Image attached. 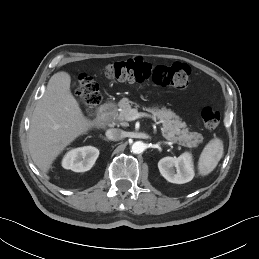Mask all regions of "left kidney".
<instances>
[{"label":"left kidney","instance_id":"1","mask_svg":"<svg viewBox=\"0 0 259 259\" xmlns=\"http://www.w3.org/2000/svg\"><path fill=\"white\" fill-rule=\"evenodd\" d=\"M161 175L169 182L184 184L194 177L192 156L186 152L179 157H164L158 162Z\"/></svg>","mask_w":259,"mask_h":259}]
</instances>
